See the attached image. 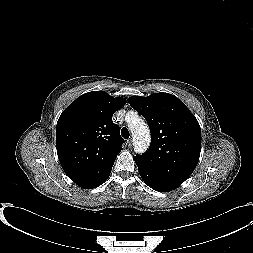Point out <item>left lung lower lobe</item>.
I'll list each match as a JSON object with an SVG mask.
<instances>
[{
	"label": "left lung lower lobe",
	"mask_w": 253,
	"mask_h": 253,
	"mask_svg": "<svg viewBox=\"0 0 253 253\" xmlns=\"http://www.w3.org/2000/svg\"><path fill=\"white\" fill-rule=\"evenodd\" d=\"M140 176L142 177L143 181L152 189L160 191V192H169L177 187H179L178 184L173 183L169 180L163 179L147 169H145L143 166H141L136 160H135Z\"/></svg>",
	"instance_id": "1"
}]
</instances>
